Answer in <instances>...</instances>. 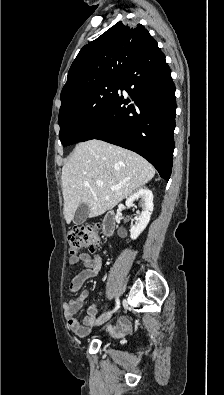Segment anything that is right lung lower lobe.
Wrapping results in <instances>:
<instances>
[{"mask_svg":"<svg viewBox=\"0 0 224 395\" xmlns=\"http://www.w3.org/2000/svg\"><path fill=\"white\" fill-rule=\"evenodd\" d=\"M119 89L126 90L129 98L117 92L80 142L99 139L132 150L168 181L174 151L175 86L157 42L128 68Z\"/></svg>","mask_w":224,"mask_h":395,"instance_id":"98d812e1","label":"right lung lower lobe"}]
</instances>
